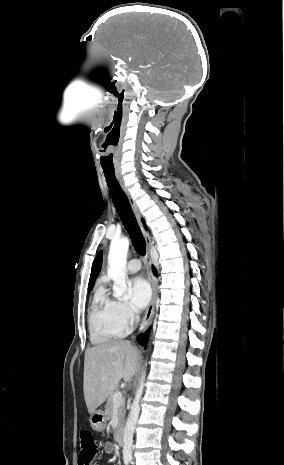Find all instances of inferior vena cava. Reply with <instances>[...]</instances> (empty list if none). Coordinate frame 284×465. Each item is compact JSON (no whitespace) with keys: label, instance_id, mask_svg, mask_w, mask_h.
<instances>
[{"label":"inferior vena cava","instance_id":"inferior-vena-cava-1","mask_svg":"<svg viewBox=\"0 0 284 465\" xmlns=\"http://www.w3.org/2000/svg\"><path fill=\"white\" fill-rule=\"evenodd\" d=\"M134 319H136V321H139L140 319L139 315H135Z\"/></svg>","mask_w":284,"mask_h":465}]
</instances>
